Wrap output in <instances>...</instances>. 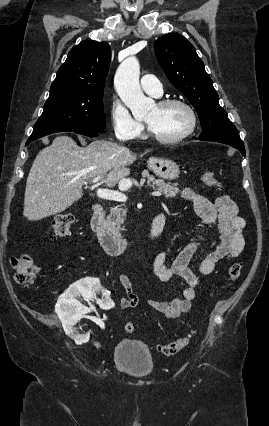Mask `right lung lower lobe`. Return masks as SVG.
Masks as SVG:
<instances>
[{"mask_svg":"<svg viewBox=\"0 0 269 426\" xmlns=\"http://www.w3.org/2000/svg\"><path fill=\"white\" fill-rule=\"evenodd\" d=\"M76 133H78V134H82V135H85V136H89V137H94V136H97L98 134V132H93V131H89V130H85V129H83V130H79V131H77ZM31 141L30 140H28L27 141V144L28 143H30Z\"/></svg>","mask_w":269,"mask_h":426,"instance_id":"1","label":"right lung lower lobe"}]
</instances>
